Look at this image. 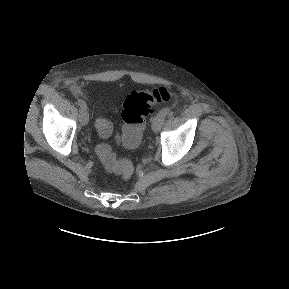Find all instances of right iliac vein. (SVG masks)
<instances>
[{"label": "right iliac vein", "mask_w": 289, "mask_h": 289, "mask_svg": "<svg viewBox=\"0 0 289 289\" xmlns=\"http://www.w3.org/2000/svg\"><path fill=\"white\" fill-rule=\"evenodd\" d=\"M80 122L82 125H86L89 122V113L87 108H81L80 110Z\"/></svg>", "instance_id": "right-iliac-vein-1"}]
</instances>
